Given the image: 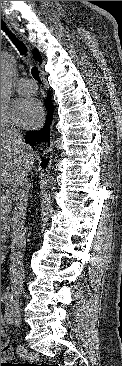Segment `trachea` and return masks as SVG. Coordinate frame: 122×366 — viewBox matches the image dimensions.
Masks as SVG:
<instances>
[{
    "mask_svg": "<svg viewBox=\"0 0 122 366\" xmlns=\"http://www.w3.org/2000/svg\"><path fill=\"white\" fill-rule=\"evenodd\" d=\"M1 29L6 33V35L9 36L11 41L20 51V53L22 55H26L27 50H26L25 45L7 28L6 24H4L3 22H1ZM31 74L36 81H38L39 83H42L40 75H39V71L36 67L32 68Z\"/></svg>",
    "mask_w": 122,
    "mask_h": 366,
    "instance_id": "obj_1",
    "label": "trachea"
}]
</instances>
